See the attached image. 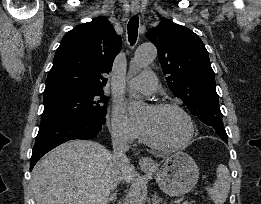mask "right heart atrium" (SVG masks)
<instances>
[{"label": "right heart atrium", "instance_id": "d8ad5b80", "mask_svg": "<svg viewBox=\"0 0 261 204\" xmlns=\"http://www.w3.org/2000/svg\"><path fill=\"white\" fill-rule=\"evenodd\" d=\"M111 135L122 142L132 143L141 135L140 125L132 120L120 104H114L108 117Z\"/></svg>", "mask_w": 261, "mask_h": 204}]
</instances>
